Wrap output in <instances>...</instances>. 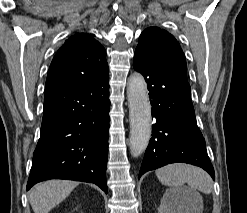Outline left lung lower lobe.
I'll return each instance as SVG.
<instances>
[{
	"label": "left lung lower lobe",
	"instance_id": "1",
	"mask_svg": "<svg viewBox=\"0 0 247 213\" xmlns=\"http://www.w3.org/2000/svg\"><path fill=\"white\" fill-rule=\"evenodd\" d=\"M145 78L152 105V138L146 149L139 178L166 164L183 162L199 166L215 179L205 140L199 130L187 81V66L137 64Z\"/></svg>",
	"mask_w": 247,
	"mask_h": 213
}]
</instances>
